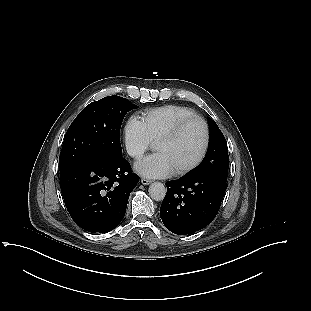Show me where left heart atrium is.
<instances>
[{
  "mask_svg": "<svg viewBox=\"0 0 311 311\" xmlns=\"http://www.w3.org/2000/svg\"><path fill=\"white\" fill-rule=\"evenodd\" d=\"M135 170L148 178H164L174 172L168 158L162 152L144 157L135 164Z\"/></svg>",
  "mask_w": 311,
  "mask_h": 311,
  "instance_id": "left-heart-atrium-1",
  "label": "left heart atrium"
}]
</instances>
